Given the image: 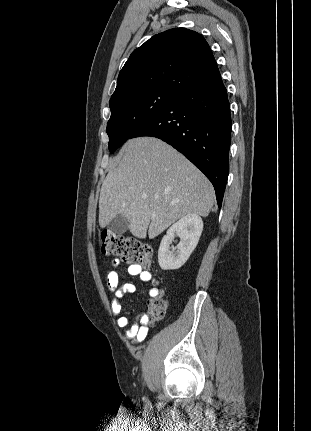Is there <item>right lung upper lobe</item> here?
Segmentation results:
<instances>
[{"instance_id":"cb5924a9","label":"right lung upper lobe","mask_w":311,"mask_h":431,"mask_svg":"<svg viewBox=\"0 0 311 431\" xmlns=\"http://www.w3.org/2000/svg\"><path fill=\"white\" fill-rule=\"evenodd\" d=\"M220 76L213 53L199 33L175 28L135 49L119 73L112 97L156 89L181 94Z\"/></svg>"}]
</instances>
